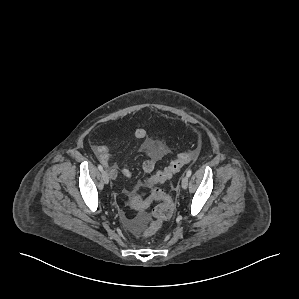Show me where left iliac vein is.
Here are the masks:
<instances>
[{"label": "left iliac vein", "mask_w": 299, "mask_h": 299, "mask_svg": "<svg viewBox=\"0 0 299 299\" xmlns=\"http://www.w3.org/2000/svg\"><path fill=\"white\" fill-rule=\"evenodd\" d=\"M181 186L183 189H186L188 187V177L187 176L182 177Z\"/></svg>", "instance_id": "1"}]
</instances>
